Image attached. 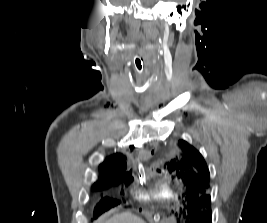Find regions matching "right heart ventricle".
<instances>
[{
  "mask_svg": "<svg viewBox=\"0 0 267 223\" xmlns=\"http://www.w3.org/2000/svg\"><path fill=\"white\" fill-rule=\"evenodd\" d=\"M181 193L174 186L171 180L163 179L159 181L153 192L147 194H139L138 197L149 201H167L176 202L179 200Z\"/></svg>",
  "mask_w": 267,
  "mask_h": 223,
  "instance_id": "1",
  "label": "right heart ventricle"
}]
</instances>
